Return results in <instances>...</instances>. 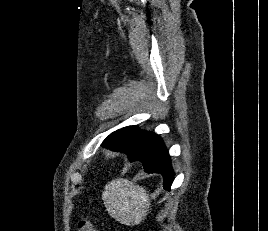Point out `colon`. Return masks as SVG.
<instances>
[{
    "label": "colon",
    "instance_id": "1",
    "mask_svg": "<svg viewBox=\"0 0 268 231\" xmlns=\"http://www.w3.org/2000/svg\"><path fill=\"white\" fill-rule=\"evenodd\" d=\"M78 231H101L89 221H81L78 224Z\"/></svg>",
    "mask_w": 268,
    "mask_h": 231
}]
</instances>
